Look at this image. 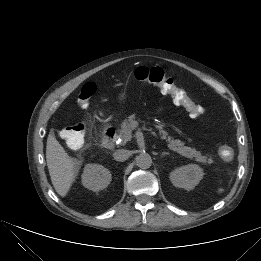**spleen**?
I'll return each mask as SVG.
<instances>
[{
	"instance_id": "3e777b00",
	"label": "spleen",
	"mask_w": 261,
	"mask_h": 261,
	"mask_svg": "<svg viewBox=\"0 0 261 261\" xmlns=\"http://www.w3.org/2000/svg\"><path fill=\"white\" fill-rule=\"evenodd\" d=\"M223 192H224V188L223 187L218 188V190H217L218 194H222Z\"/></svg>"
}]
</instances>
